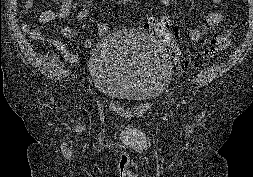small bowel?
<instances>
[{
  "label": "small bowel",
  "instance_id": "small-bowel-1",
  "mask_svg": "<svg viewBox=\"0 0 253 177\" xmlns=\"http://www.w3.org/2000/svg\"><path fill=\"white\" fill-rule=\"evenodd\" d=\"M74 0H63L59 11L45 10L39 16V21L46 25L53 21L66 18L69 16ZM165 7L171 4V0H161ZM226 0H213L214 9L207 14L205 21L200 27H192L187 31V36L191 41H198L202 39L211 30L216 28L224 20V4ZM35 0H25L23 6L25 9H31L34 6ZM92 0H83L82 6L77 14L79 22H83L89 12ZM21 29L26 33H33L28 23L22 22ZM96 32L100 37H105L110 32V27L101 21L96 23ZM61 35L64 39L72 40L76 36V30L70 26H65L61 29ZM95 44L93 38H87L83 45L86 49H91ZM55 48L57 51L70 63H77L79 61V55L71 51L66 45L55 42Z\"/></svg>",
  "mask_w": 253,
  "mask_h": 177
}]
</instances>
